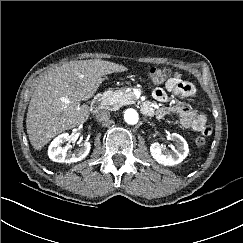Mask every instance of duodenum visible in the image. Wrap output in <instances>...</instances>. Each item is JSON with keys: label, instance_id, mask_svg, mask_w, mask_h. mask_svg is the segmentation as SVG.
Returning a JSON list of instances; mask_svg holds the SVG:
<instances>
[{"label": "duodenum", "instance_id": "obj_1", "mask_svg": "<svg viewBox=\"0 0 243 243\" xmlns=\"http://www.w3.org/2000/svg\"><path fill=\"white\" fill-rule=\"evenodd\" d=\"M106 104H107V101H106L105 95L98 94L93 99V102H92V105H91V110H92V112L97 113V112L101 111L102 109H104ZM142 111L146 115L152 114V108L148 104L143 105Z\"/></svg>", "mask_w": 243, "mask_h": 243}]
</instances>
